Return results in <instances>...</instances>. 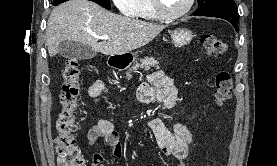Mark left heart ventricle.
Here are the masks:
<instances>
[{
    "mask_svg": "<svg viewBox=\"0 0 277 166\" xmlns=\"http://www.w3.org/2000/svg\"><path fill=\"white\" fill-rule=\"evenodd\" d=\"M164 9L168 13H177L186 5L187 0H161Z\"/></svg>",
    "mask_w": 277,
    "mask_h": 166,
    "instance_id": "left-heart-ventricle-1",
    "label": "left heart ventricle"
}]
</instances>
